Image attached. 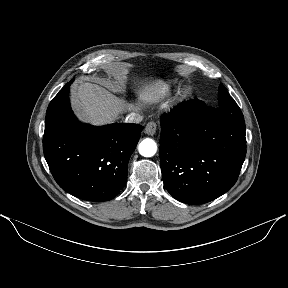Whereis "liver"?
Wrapping results in <instances>:
<instances>
[{
    "label": "liver",
    "mask_w": 288,
    "mask_h": 288,
    "mask_svg": "<svg viewBox=\"0 0 288 288\" xmlns=\"http://www.w3.org/2000/svg\"><path fill=\"white\" fill-rule=\"evenodd\" d=\"M151 96L149 88L140 94L143 100H150ZM74 101L79 118L94 125L115 121L126 108L136 110L134 105L125 104L106 89L92 83H81L76 89Z\"/></svg>",
    "instance_id": "obj_1"
}]
</instances>
